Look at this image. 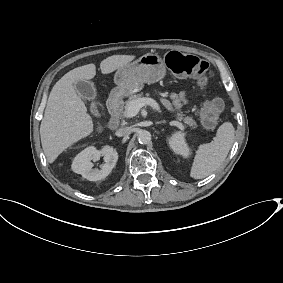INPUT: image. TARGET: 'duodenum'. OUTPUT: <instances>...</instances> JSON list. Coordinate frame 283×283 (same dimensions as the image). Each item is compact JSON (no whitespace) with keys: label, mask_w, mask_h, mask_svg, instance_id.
<instances>
[{"label":"duodenum","mask_w":283,"mask_h":283,"mask_svg":"<svg viewBox=\"0 0 283 283\" xmlns=\"http://www.w3.org/2000/svg\"><path fill=\"white\" fill-rule=\"evenodd\" d=\"M122 98L120 95H114L108 102L107 109L111 112L110 128L117 129L119 126V116L122 111Z\"/></svg>","instance_id":"410a0bca"}]
</instances>
